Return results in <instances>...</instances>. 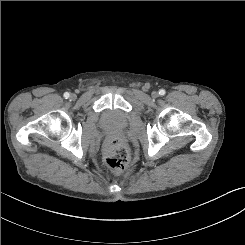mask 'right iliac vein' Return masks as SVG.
<instances>
[{
    "label": "right iliac vein",
    "instance_id": "63e3f726",
    "mask_svg": "<svg viewBox=\"0 0 245 245\" xmlns=\"http://www.w3.org/2000/svg\"><path fill=\"white\" fill-rule=\"evenodd\" d=\"M70 98H71L72 100H74V99H76V95H75V94H71Z\"/></svg>",
    "mask_w": 245,
    "mask_h": 245
}]
</instances>
